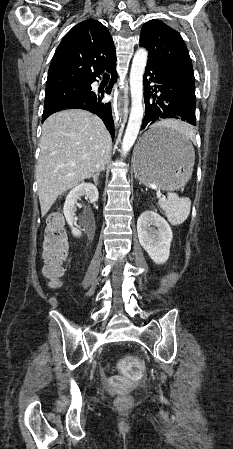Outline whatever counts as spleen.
I'll use <instances>...</instances> for the list:
<instances>
[{
	"label": "spleen",
	"mask_w": 233,
	"mask_h": 449,
	"mask_svg": "<svg viewBox=\"0 0 233 449\" xmlns=\"http://www.w3.org/2000/svg\"><path fill=\"white\" fill-rule=\"evenodd\" d=\"M176 129L177 133H185L188 137L191 132V125H167ZM158 204L162 210L165 211L168 221L172 225L182 224L190 214L191 201L186 197H179L178 194L168 192L167 198L162 197L159 199Z\"/></svg>",
	"instance_id": "1"
}]
</instances>
